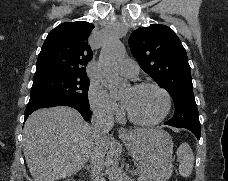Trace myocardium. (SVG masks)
Segmentation results:
<instances>
[{"instance_id": "1", "label": "myocardium", "mask_w": 228, "mask_h": 181, "mask_svg": "<svg viewBox=\"0 0 228 181\" xmlns=\"http://www.w3.org/2000/svg\"><path fill=\"white\" fill-rule=\"evenodd\" d=\"M145 87H150L153 88L155 90H157L160 95L163 98V106L161 111L159 112V114L149 120H141L138 119L137 117H135L131 111L129 110V108H126V112H127V116L128 118L135 124L137 125H141V126H153L157 123H159L161 120H163L166 115L169 112L170 109V96L169 94L157 83L154 82H150V81H132L131 82V88L132 89H141V88H145Z\"/></svg>"}]
</instances>
